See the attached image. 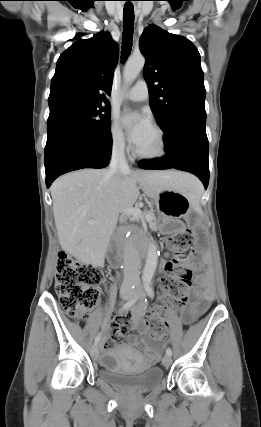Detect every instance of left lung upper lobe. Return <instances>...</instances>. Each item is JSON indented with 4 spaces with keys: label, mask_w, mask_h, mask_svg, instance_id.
<instances>
[{
    "label": "left lung upper lobe",
    "mask_w": 261,
    "mask_h": 427,
    "mask_svg": "<svg viewBox=\"0 0 261 427\" xmlns=\"http://www.w3.org/2000/svg\"><path fill=\"white\" fill-rule=\"evenodd\" d=\"M140 51L146 58L143 75L150 106L162 129L180 111H205L200 54L190 40L149 25L141 35Z\"/></svg>",
    "instance_id": "obj_1"
}]
</instances>
